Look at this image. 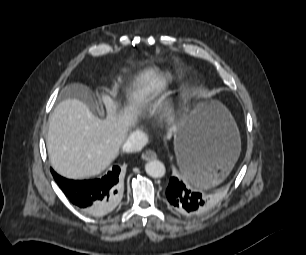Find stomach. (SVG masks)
<instances>
[{
	"instance_id": "obj_1",
	"label": "stomach",
	"mask_w": 306,
	"mask_h": 255,
	"mask_svg": "<svg viewBox=\"0 0 306 255\" xmlns=\"http://www.w3.org/2000/svg\"><path fill=\"white\" fill-rule=\"evenodd\" d=\"M140 48L152 59L157 71L166 76L169 84L178 82V75L173 73V67L157 46L143 41ZM174 146L180 167L187 151L210 164L211 174L207 179H188L194 186L208 189L228 176L239 157L241 142L235 121L224 105L218 101H199L182 114L174 130Z\"/></svg>"
}]
</instances>
